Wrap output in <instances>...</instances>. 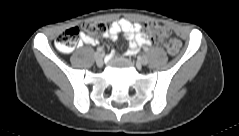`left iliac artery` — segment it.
I'll list each match as a JSON object with an SVG mask.
<instances>
[{"label":"left iliac artery","mask_w":239,"mask_h":136,"mask_svg":"<svg viewBox=\"0 0 239 136\" xmlns=\"http://www.w3.org/2000/svg\"><path fill=\"white\" fill-rule=\"evenodd\" d=\"M147 51V48H143V52H146Z\"/></svg>","instance_id":"1"}]
</instances>
